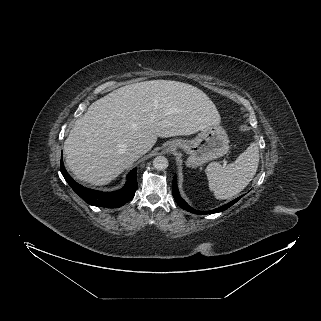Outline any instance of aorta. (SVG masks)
I'll return each instance as SVG.
<instances>
[{"label":"aorta","instance_id":"1","mask_svg":"<svg viewBox=\"0 0 321 321\" xmlns=\"http://www.w3.org/2000/svg\"><path fill=\"white\" fill-rule=\"evenodd\" d=\"M169 163L166 157L164 156H157L153 160V166L156 170H165L168 167Z\"/></svg>","mask_w":321,"mask_h":321}]
</instances>
